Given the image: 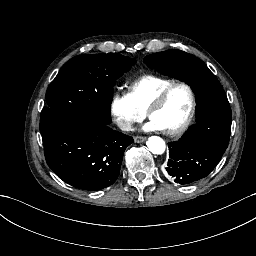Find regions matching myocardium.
<instances>
[{
    "mask_svg": "<svg viewBox=\"0 0 256 256\" xmlns=\"http://www.w3.org/2000/svg\"><path fill=\"white\" fill-rule=\"evenodd\" d=\"M175 85H181L183 86L189 93L190 96V110L184 121L175 127L173 130L168 132L169 135H174L183 132L191 122V120L194 117L195 114V109H196V100H195V95L193 93V90L191 86L183 79L178 78L175 80L173 84L168 85L161 93L160 95L147 107L146 113L147 116L152 117V112L154 109L160 107L164 101L166 100L170 90L175 86Z\"/></svg>",
    "mask_w": 256,
    "mask_h": 256,
    "instance_id": "myocardium-1",
    "label": "myocardium"
}]
</instances>
